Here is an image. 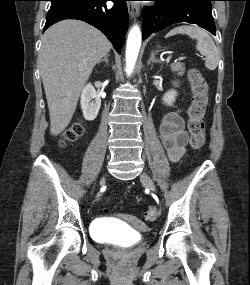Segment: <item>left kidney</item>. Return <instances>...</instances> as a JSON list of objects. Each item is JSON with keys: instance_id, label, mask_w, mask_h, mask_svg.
<instances>
[{"instance_id": "obj_1", "label": "left kidney", "mask_w": 250, "mask_h": 285, "mask_svg": "<svg viewBox=\"0 0 250 285\" xmlns=\"http://www.w3.org/2000/svg\"><path fill=\"white\" fill-rule=\"evenodd\" d=\"M176 96H177V92L172 89L166 92L162 99L164 103H166L167 105H172L173 102L175 101Z\"/></svg>"}]
</instances>
